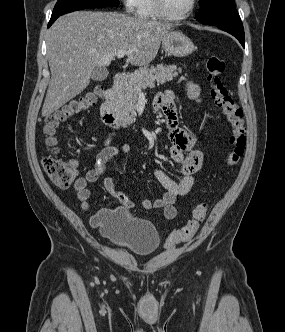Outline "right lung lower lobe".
Masks as SVG:
<instances>
[{"label": "right lung lower lobe", "mask_w": 285, "mask_h": 332, "mask_svg": "<svg viewBox=\"0 0 285 332\" xmlns=\"http://www.w3.org/2000/svg\"><path fill=\"white\" fill-rule=\"evenodd\" d=\"M59 16L60 15H52L48 27H50Z\"/></svg>", "instance_id": "98d812e1"}]
</instances>
